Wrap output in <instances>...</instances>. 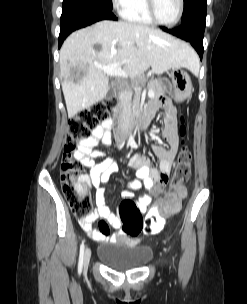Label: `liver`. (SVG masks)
<instances>
[{
	"instance_id": "1",
	"label": "liver",
	"mask_w": 247,
	"mask_h": 304,
	"mask_svg": "<svg viewBox=\"0 0 247 304\" xmlns=\"http://www.w3.org/2000/svg\"><path fill=\"white\" fill-rule=\"evenodd\" d=\"M100 45V51L94 45ZM60 78L68 117L103 100L109 76L100 66L119 63L132 78L152 68L157 74L169 69L199 68L192 48L158 29L124 21H100L72 33L60 50ZM83 72L79 83L74 73Z\"/></svg>"
}]
</instances>
